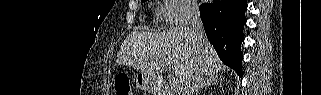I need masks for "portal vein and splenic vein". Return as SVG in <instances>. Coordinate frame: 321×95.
I'll return each mask as SVG.
<instances>
[{
  "mask_svg": "<svg viewBox=\"0 0 321 95\" xmlns=\"http://www.w3.org/2000/svg\"><path fill=\"white\" fill-rule=\"evenodd\" d=\"M164 64H165L166 66H169V68H171V62L165 61ZM177 83H178V81H177L176 77H171V78H170V84H171V85H176Z\"/></svg>",
  "mask_w": 321,
  "mask_h": 95,
  "instance_id": "18ae733b",
  "label": "portal vein and splenic vein"
}]
</instances>
